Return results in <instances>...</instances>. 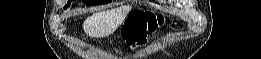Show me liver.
I'll use <instances>...</instances> for the list:
<instances>
[{
  "instance_id": "1",
  "label": "liver",
  "mask_w": 261,
  "mask_h": 59,
  "mask_svg": "<svg viewBox=\"0 0 261 59\" xmlns=\"http://www.w3.org/2000/svg\"><path fill=\"white\" fill-rule=\"evenodd\" d=\"M124 16L115 10L101 11L88 17L83 29L90 37H104L112 34L123 22Z\"/></svg>"
}]
</instances>
